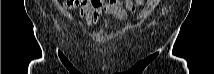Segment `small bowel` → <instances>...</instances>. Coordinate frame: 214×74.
Masks as SVG:
<instances>
[{"label":"small bowel","instance_id":"c3829d8e","mask_svg":"<svg viewBox=\"0 0 214 74\" xmlns=\"http://www.w3.org/2000/svg\"><path fill=\"white\" fill-rule=\"evenodd\" d=\"M125 6L131 12H135L137 9L132 1H127ZM69 7L79 8L80 18L89 26L95 25L103 14H110L118 18L127 16L124 6L119 2L101 0L71 1Z\"/></svg>","mask_w":214,"mask_h":74}]
</instances>
